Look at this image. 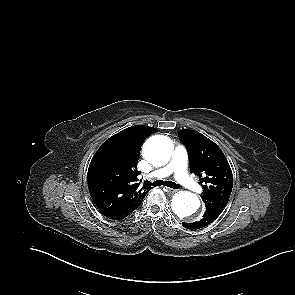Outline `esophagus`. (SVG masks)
I'll return each instance as SVG.
<instances>
[{
    "instance_id": "1",
    "label": "esophagus",
    "mask_w": 295,
    "mask_h": 295,
    "mask_svg": "<svg viewBox=\"0 0 295 295\" xmlns=\"http://www.w3.org/2000/svg\"><path fill=\"white\" fill-rule=\"evenodd\" d=\"M166 189L170 194H174L177 192V189H172V188H166Z\"/></svg>"
}]
</instances>
